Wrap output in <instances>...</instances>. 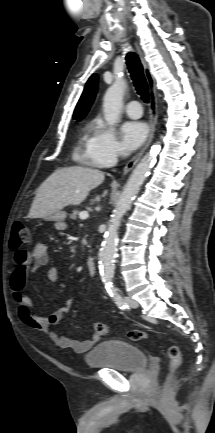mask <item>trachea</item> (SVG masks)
<instances>
[{
  "label": "trachea",
  "instance_id": "1",
  "mask_svg": "<svg viewBox=\"0 0 215 433\" xmlns=\"http://www.w3.org/2000/svg\"><path fill=\"white\" fill-rule=\"evenodd\" d=\"M126 62L138 94L141 96L144 102L148 103L149 87L143 73V67L139 57L135 53L130 52L126 55Z\"/></svg>",
  "mask_w": 215,
  "mask_h": 433
}]
</instances>
